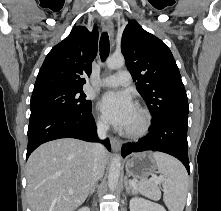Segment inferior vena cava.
<instances>
[{"label":"inferior vena cava","mask_w":221,"mask_h":211,"mask_svg":"<svg viewBox=\"0 0 221 211\" xmlns=\"http://www.w3.org/2000/svg\"><path fill=\"white\" fill-rule=\"evenodd\" d=\"M108 129H109V126L105 122L97 123V133L100 139L106 138ZM92 151H93V156H94V163H93V169H92V188H93L96 182L104 174V166L101 162V157L105 152V148L102 144L95 143L92 146Z\"/></svg>","instance_id":"obj_1"}]
</instances>
